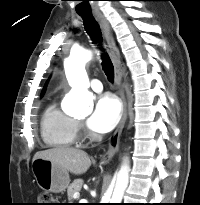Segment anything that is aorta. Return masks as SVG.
Instances as JSON below:
<instances>
[{
	"label": "aorta",
	"instance_id": "762f6f07",
	"mask_svg": "<svg viewBox=\"0 0 200 205\" xmlns=\"http://www.w3.org/2000/svg\"><path fill=\"white\" fill-rule=\"evenodd\" d=\"M92 51L78 49L73 51L64 62L65 74L71 92L68 95L70 111L87 116L93 110V96L88 91L89 79L85 70V64L91 59ZM130 165L126 158L117 175L112 195L104 196L101 203L119 204L129 182Z\"/></svg>",
	"mask_w": 200,
	"mask_h": 205
}]
</instances>
